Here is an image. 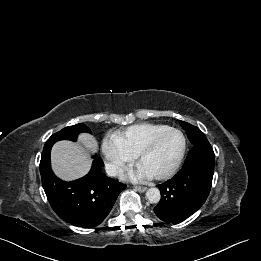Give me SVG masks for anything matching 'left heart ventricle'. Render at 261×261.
Returning a JSON list of instances; mask_svg holds the SVG:
<instances>
[{"instance_id": "obj_1", "label": "left heart ventricle", "mask_w": 261, "mask_h": 261, "mask_svg": "<svg viewBox=\"0 0 261 261\" xmlns=\"http://www.w3.org/2000/svg\"><path fill=\"white\" fill-rule=\"evenodd\" d=\"M181 148V137L174 132L164 134L154 149L145 156L140 165L152 175H158L168 170L175 162Z\"/></svg>"}]
</instances>
